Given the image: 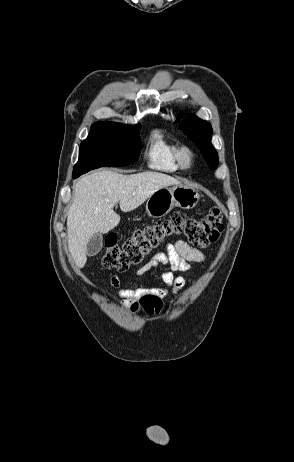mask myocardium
I'll use <instances>...</instances> for the list:
<instances>
[{
  "instance_id": "obj_1",
  "label": "myocardium",
  "mask_w": 294,
  "mask_h": 462,
  "mask_svg": "<svg viewBox=\"0 0 294 462\" xmlns=\"http://www.w3.org/2000/svg\"><path fill=\"white\" fill-rule=\"evenodd\" d=\"M179 160L182 168H190L193 165L194 153L189 147H181Z\"/></svg>"
}]
</instances>
